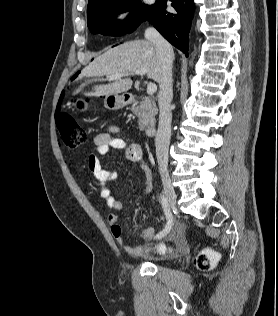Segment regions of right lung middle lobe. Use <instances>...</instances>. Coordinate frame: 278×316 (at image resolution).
I'll use <instances>...</instances> for the list:
<instances>
[{"mask_svg":"<svg viewBox=\"0 0 278 316\" xmlns=\"http://www.w3.org/2000/svg\"><path fill=\"white\" fill-rule=\"evenodd\" d=\"M137 6V7H135ZM155 5H142L139 0H108L88 11V27L94 34L122 36L136 29L141 21L147 20ZM132 11L127 20L120 22L116 15Z\"/></svg>","mask_w":278,"mask_h":316,"instance_id":"right-lung-middle-lobe-1","label":"right lung middle lobe"}]
</instances>
